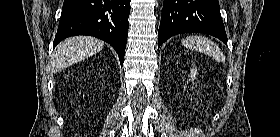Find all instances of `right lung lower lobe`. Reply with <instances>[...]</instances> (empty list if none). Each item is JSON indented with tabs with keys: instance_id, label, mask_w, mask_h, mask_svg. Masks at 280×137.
Segmentation results:
<instances>
[{
	"instance_id": "1",
	"label": "right lung lower lobe",
	"mask_w": 280,
	"mask_h": 137,
	"mask_svg": "<svg viewBox=\"0 0 280 137\" xmlns=\"http://www.w3.org/2000/svg\"><path fill=\"white\" fill-rule=\"evenodd\" d=\"M131 0H64L54 46L75 35L109 43L123 65Z\"/></svg>"
}]
</instances>
